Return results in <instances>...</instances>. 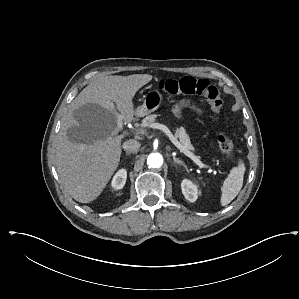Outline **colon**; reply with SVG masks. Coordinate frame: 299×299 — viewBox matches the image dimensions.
<instances>
[{
	"mask_svg": "<svg viewBox=\"0 0 299 299\" xmlns=\"http://www.w3.org/2000/svg\"><path fill=\"white\" fill-rule=\"evenodd\" d=\"M161 90L172 95H198L203 96L210 104L215 114L221 112L223 101L219 89L211 84L207 79L194 78L191 76L181 79H162L159 82ZM218 144L221 152L226 158L233 156V140L227 132H221L218 135Z\"/></svg>",
	"mask_w": 299,
	"mask_h": 299,
	"instance_id": "colon-1",
	"label": "colon"
}]
</instances>
